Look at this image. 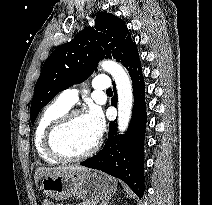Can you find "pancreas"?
<instances>
[{"instance_id": "obj_1", "label": "pancreas", "mask_w": 212, "mask_h": 205, "mask_svg": "<svg viewBox=\"0 0 212 205\" xmlns=\"http://www.w3.org/2000/svg\"><path fill=\"white\" fill-rule=\"evenodd\" d=\"M77 205H95V203L94 202H83V203H79Z\"/></svg>"}]
</instances>
